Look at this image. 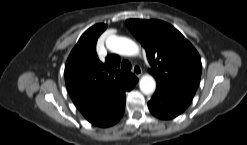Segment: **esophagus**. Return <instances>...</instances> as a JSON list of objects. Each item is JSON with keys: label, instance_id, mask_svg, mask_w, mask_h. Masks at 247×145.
Instances as JSON below:
<instances>
[{"label": "esophagus", "instance_id": "1", "mask_svg": "<svg viewBox=\"0 0 247 145\" xmlns=\"http://www.w3.org/2000/svg\"><path fill=\"white\" fill-rule=\"evenodd\" d=\"M132 72L137 76V77H140L141 74H142V70H141V67L139 65H134L133 68H132Z\"/></svg>", "mask_w": 247, "mask_h": 145}]
</instances>
